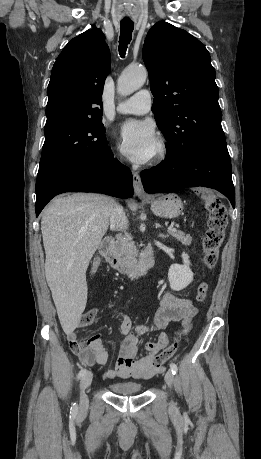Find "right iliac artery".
Returning a JSON list of instances; mask_svg holds the SVG:
<instances>
[{
	"label": "right iliac artery",
	"mask_w": 261,
	"mask_h": 459,
	"mask_svg": "<svg viewBox=\"0 0 261 459\" xmlns=\"http://www.w3.org/2000/svg\"><path fill=\"white\" fill-rule=\"evenodd\" d=\"M87 373V370L86 369H81L78 373V379L82 378L85 374ZM71 411L72 413H76L77 412V405L76 403L73 404V406L71 407Z\"/></svg>",
	"instance_id": "82829eb1"
}]
</instances>
